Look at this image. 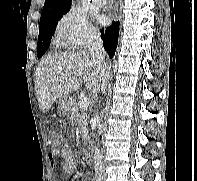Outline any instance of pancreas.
Returning <instances> with one entry per match:
<instances>
[{
  "instance_id": "obj_1",
  "label": "pancreas",
  "mask_w": 197,
  "mask_h": 181,
  "mask_svg": "<svg viewBox=\"0 0 197 181\" xmlns=\"http://www.w3.org/2000/svg\"><path fill=\"white\" fill-rule=\"evenodd\" d=\"M69 120L77 123L80 128L81 138L86 141L89 139L87 111L80 108V102L74 103L69 112Z\"/></svg>"
}]
</instances>
